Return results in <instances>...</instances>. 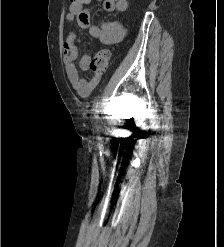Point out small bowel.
<instances>
[{
  "label": "small bowel",
  "mask_w": 224,
  "mask_h": 247,
  "mask_svg": "<svg viewBox=\"0 0 224 247\" xmlns=\"http://www.w3.org/2000/svg\"><path fill=\"white\" fill-rule=\"evenodd\" d=\"M88 4L92 0H85ZM82 7L70 6L65 15V20L69 23H77L79 28L88 29L93 38L100 40L104 44H114L120 42L125 35V29L117 21L108 22H91L90 12ZM103 7L107 12L117 11L123 13L128 9L127 0H104ZM77 35L75 32L69 33L63 43L64 64L67 78L73 89L82 97L88 96L100 81L101 74H94L89 79L83 78L75 60L79 52L75 44ZM91 64V56L88 53H83L79 59V68L88 70Z\"/></svg>",
  "instance_id": "small-bowel-1"
}]
</instances>
